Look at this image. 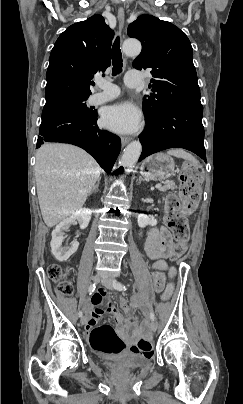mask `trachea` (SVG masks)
Returning <instances> with one entry per match:
<instances>
[{
	"label": "trachea",
	"instance_id": "obj_1",
	"mask_svg": "<svg viewBox=\"0 0 243 404\" xmlns=\"http://www.w3.org/2000/svg\"><path fill=\"white\" fill-rule=\"evenodd\" d=\"M112 75H118L120 72H122L123 68V59H122V53L120 49V39L117 37L115 39V42L112 46Z\"/></svg>",
	"mask_w": 243,
	"mask_h": 404
}]
</instances>
